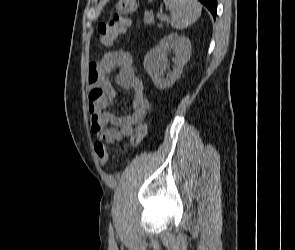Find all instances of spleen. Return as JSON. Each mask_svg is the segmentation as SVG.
Masks as SVG:
<instances>
[{"label":"spleen","instance_id":"spleen-1","mask_svg":"<svg viewBox=\"0 0 295 250\" xmlns=\"http://www.w3.org/2000/svg\"><path fill=\"white\" fill-rule=\"evenodd\" d=\"M166 9L171 11V25L184 29L200 17L202 6L198 0H164Z\"/></svg>","mask_w":295,"mask_h":250}]
</instances>
